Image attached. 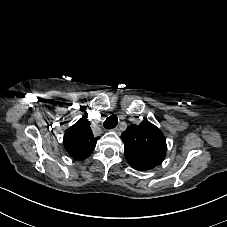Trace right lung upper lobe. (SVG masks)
I'll list each match as a JSON object with an SVG mask.
<instances>
[{
	"label": "right lung upper lobe",
	"instance_id": "obj_1",
	"mask_svg": "<svg viewBox=\"0 0 227 227\" xmlns=\"http://www.w3.org/2000/svg\"><path fill=\"white\" fill-rule=\"evenodd\" d=\"M98 138L93 136L89 121L82 117L66 130L63 144L73 159L84 160L93 152Z\"/></svg>",
	"mask_w": 227,
	"mask_h": 227
}]
</instances>
